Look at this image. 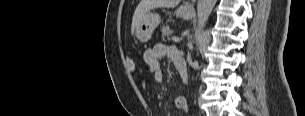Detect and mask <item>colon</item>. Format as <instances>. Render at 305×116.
<instances>
[{
	"label": "colon",
	"instance_id": "5ec220e1",
	"mask_svg": "<svg viewBox=\"0 0 305 116\" xmlns=\"http://www.w3.org/2000/svg\"><path fill=\"white\" fill-rule=\"evenodd\" d=\"M127 65H128V68H129L130 71H132V72L135 71L136 65H135L134 60H133L131 57H129V58L127 59Z\"/></svg>",
	"mask_w": 305,
	"mask_h": 116
}]
</instances>
